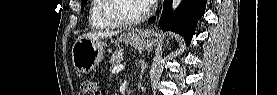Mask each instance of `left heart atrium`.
Listing matches in <instances>:
<instances>
[{"label":"left heart atrium","instance_id":"left-heart-atrium-1","mask_svg":"<svg viewBox=\"0 0 277 95\" xmlns=\"http://www.w3.org/2000/svg\"><path fill=\"white\" fill-rule=\"evenodd\" d=\"M144 4L152 5L157 2V0H142Z\"/></svg>","mask_w":277,"mask_h":95}]
</instances>
